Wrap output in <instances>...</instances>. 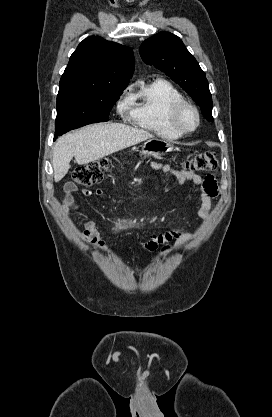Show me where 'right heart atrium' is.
I'll return each instance as SVG.
<instances>
[{
	"label": "right heart atrium",
	"mask_w": 272,
	"mask_h": 417,
	"mask_svg": "<svg viewBox=\"0 0 272 417\" xmlns=\"http://www.w3.org/2000/svg\"><path fill=\"white\" fill-rule=\"evenodd\" d=\"M130 106V101L128 99L122 98L117 102L116 108L119 113H124L128 110Z\"/></svg>",
	"instance_id": "d8ad5b80"
}]
</instances>
